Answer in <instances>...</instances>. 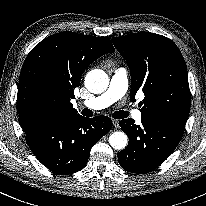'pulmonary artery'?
<instances>
[{
    "label": "pulmonary artery",
    "instance_id": "1",
    "mask_svg": "<svg viewBox=\"0 0 206 206\" xmlns=\"http://www.w3.org/2000/svg\"><path fill=\"white\" fill-rule=\"evenodd\" d=\"M128 89L127 71L124 68L115 70L108 89L98 97L82 103L84 107L93 110H100L109 107L117 100L121 99ZM130 114L136 121L142 119V114L138 110H132Z\"/></svg>",
    "mask_w": 206,
    "mask_h": 206
}]
</instances>
